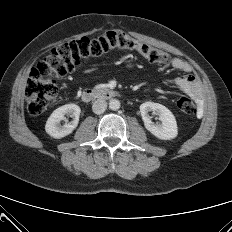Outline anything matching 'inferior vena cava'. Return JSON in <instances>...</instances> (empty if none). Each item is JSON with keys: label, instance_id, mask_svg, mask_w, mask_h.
<instances>
[{"label": "inferior vena cava", "instance_id": "1", "mask_svg": "<svg viewBox=\"0 0 232 232\" xmlns=\"http://www.w3.org/2000/svg\"><path fill=\"white\" fill-rule=\"evenodd\" d=\"M107 108V102L105 100L102 99H98L96 101H94L93 105H92V110L95 114H102L104 113V111Z\"/></svg>", "mask_w": 232, "mask_h": 232}]
</instances>
